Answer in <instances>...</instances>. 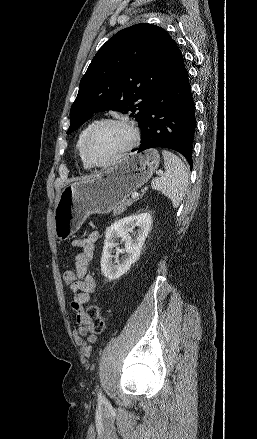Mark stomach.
Segmentation results:
<instances>
[{"label":"stomach","instance_id":"stomach-1","mask_svg":"<svg viewBox=\"0 0 257 439\" xmlns=\"http://www.w3.org/2000/svg\"><path fill=\"white\" fill-rule=\"evenodd\" d=\"M160 155L147 149L124 157L116 166L64 187L56 200L54 232L67 240L91 214H108L144 185L158 168Z\"/></svg>","mask_w":257,"mask_h":439}]
</instances>
